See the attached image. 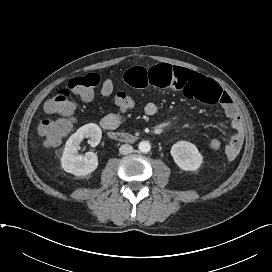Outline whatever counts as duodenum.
Instances as JSON below:
<instances>
[{
    "label": "duodenum",
    "instance_id": "obj_1",
    "mask_svg": "<svg viewBox=\"0 0 272 272\" xmlns=\"http://www.w3.org/2000/svg\"><path fill=\"white\" fill-rule=\"evenodd\" d=\"M109 138L115 141L132 143L136 141V137L126 132L110 131L108 133Z\"/></svg>",
    "mask_w": 272,
    "mask_h": 272
}]
</instances>
